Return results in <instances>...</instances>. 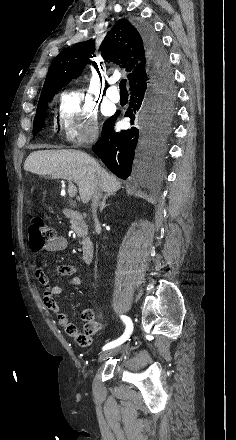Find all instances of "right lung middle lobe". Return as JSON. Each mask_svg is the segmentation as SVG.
<instances>
[{"mask_svg":"<svg viewBox=\"0 0 236 440\" xmlns=\"http://www.w3.org/2000/svg\"><path fill=\"white\" fill-rule=\"evenodd\" d=\"M55 93L49 94L46 97L39 99L37 112L34 118L33 134H37L44 126V119L46 118V108L48 101L53 98ZM154 98L158 111V122L160 132L165 130L166 117L169 114L173 101L175 99V88L171 81H168L154 90Z\"/></svg>","mask_w":236,"mask_h":440,"instance_id":"obj_1","label":"right lung middle lobe"}]
</instances>
